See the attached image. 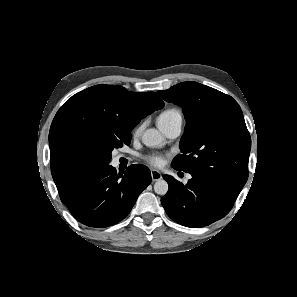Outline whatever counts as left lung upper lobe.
Instances as JSON below:
<instances>
[{"instance_id": "1", "label": "left lung upper lobe", "mask_w": 297, "mask_h": 297, "mask_svg": "<svg viewBox=\"0 0 297 297\" xmlns=\"http://www.w3.org/2000/svg\"><path fill=\"white\" fill-rule=\"evenodd\" d=\"M158 94L179 105L186 119L181 154L174 158L172 166L238 196L248 179L251 148L238 103L229 95L193 81Z\"/></svg>"}]
</instances>
